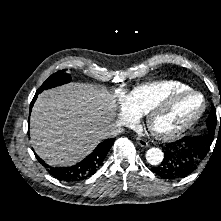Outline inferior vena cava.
<instances>
[{"label":"inferior vena cava","instance_id":"1","mask_svg":"<svg viewBox=\"0 0 221 221\" xmlns=\"http://www.w3.org/2000/svg\"><path fill=\"white\" fill-rule=\"evenodd\" d=\"M122 128L118 126L117 124H111L108 125L102 132L101 137L102 138H111L116 137L122 132Z\"/></svg>","mask_w":221,"mask_h":221}]
</instances>
